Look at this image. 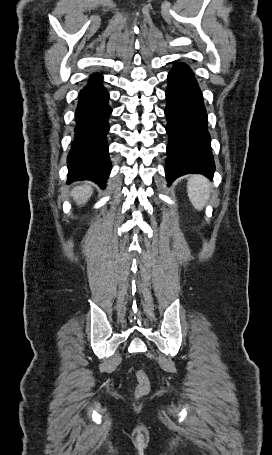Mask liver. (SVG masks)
<instances>
[{"instance_id":"liver-1","label":"liver","mask_w":272,"mask_h":455,"mask_svg":"<svg viewBox=\"0 0 272 455\" xmlns=\"http://www.w3.org/2000/svg\"><path fill=\"white\" fill-rule=\"evenodd\" d=\"M93 190L88 183H85L81 186L74 188L71 192V196L73 200L77 203V205H83L92 195Z\"/></svg>"}]
</instances>
